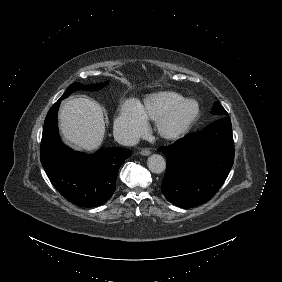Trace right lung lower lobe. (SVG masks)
<instances>
[{
	"mask_svg": "<svg viewBox=\"0 0 282 282\" xmlns=\"http://www.w3.org/2000/svg\"><path fill=\"white\" fill-rule=\"evenodd\" d=\"M61 100L51 107L44 122L40 147L42 166L54 187L68 201L87 208L102 205L114 193L118 170L131 156V151L106 148L92 155L69 151L62 144L57 127Z\"/></svg>",
	"mask_w": 282,
	"mask_h": 282,
	"instance_id": "98d812e1",
	"label": "right lung lower lobe"
}]
</instances>
